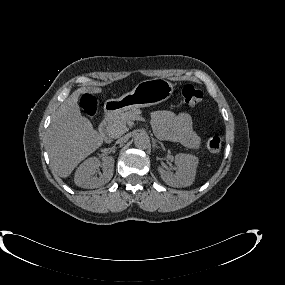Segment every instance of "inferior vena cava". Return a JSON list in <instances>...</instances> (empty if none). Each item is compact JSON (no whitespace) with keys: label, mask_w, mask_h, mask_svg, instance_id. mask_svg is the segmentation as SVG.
<instances>
[{"label":"inferior vena cava","mask_w":285,"mask_h":285,"mask_svg":"<svg viewBox=\"0 0 285 285\" xmlns=\"http://www.w3.org/2000/svg\"><path fill=\"white\" fill-rule=\"evenodd\" d=\"M129 142V137L126 134H121L116 143L126 145Z\"/></svg>","instance_id":"obj_1"}]
</instances>
